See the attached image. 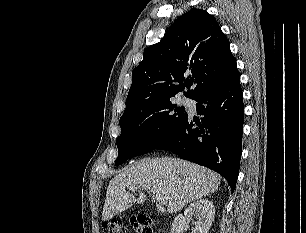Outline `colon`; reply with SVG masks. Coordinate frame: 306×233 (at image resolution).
Listing matches in <instances>:
<instances>
[{
	"label": "colon",
	"instance_id": "colon-1",
	"mask_svg": "<svg viewBox=\"0 0 306 233\" xmlns=\"http://www.w3.org/2000/svg\"><path fill=\"white\" fill-rule=\"evenodd\" d=\"M130 223L137 233H153L150 220L145 216L133 217ZM124 229L121 219H113L102 226L103 233H123Z\"/></svg>",
	"mask_w": 306,
	"mask_h": 233
}]
</instances>
